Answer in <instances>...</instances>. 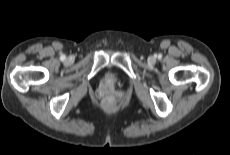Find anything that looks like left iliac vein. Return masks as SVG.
<instances>
[{
  "mask_svg": "<svg viewBox=\"0 0 230 155\" xmlns=\"http://www.w3.org/2000/svg\"><path fill=\"white\" fill-rule=\"evenodd\" d=\"M148 61L150 63H155L156 59L153 56H151V57L148 58Z\"/></svg>",
  "mask_w": 230,
  "mask_h": 155,
  "instance_id": "1",
  "label": "left iliac vein"
}]
</instances>
